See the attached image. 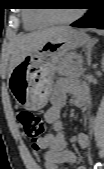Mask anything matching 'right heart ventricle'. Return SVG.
Instances as JSON below:
<instances>
[{
	"mask_svg": "<svg viewBox=\"0 0 104 169\" xmlns=\"http://www.w3.org/2000/svg\"><path fill=\"white\" fill-rule=\"evenodd\" d=\"M24 25L28 29H37L51 24L40 12H25L23 13Z\"/></svg>",
	"mask_w": 104,
	"mask_h": 169,
	"instance_id": "1",
	"label": "right heart ventricle"
}]
</instances>
